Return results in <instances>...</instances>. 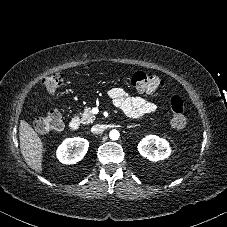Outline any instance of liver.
<instances>
[{
	"mask_svg": "<svg viewBox=\"0 0 227 227\" xmlns=\"http://www.w3.org/2000/svg\"><path fill=\"white\" fill-rule=\"evenodd\" d=\"M19 142L22 156L27 165L38 173L42 172L43 143L34 129L25 121H20Z\"/></svg>",
	"mask_w": 227,
	"mask_h": 227,
	"instance_id": "liver-1",
	"label": "liver"
}]
</instances>
